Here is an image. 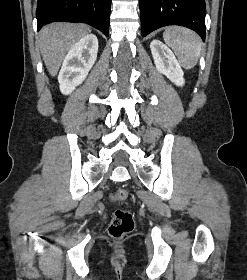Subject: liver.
I'll use <instances>...</instances> for the list:
<instances>
[{"mask_svg": "<svg viewBox=\"0 0 247 280\" xmlns=\"http://www.w3.org/2000/svg\"><path fill=\"white\" fill-rule=\"evenodd\" d=\"M90 32L87 25L74 23H51L38 34V45L51 76H55L68 51Z\"/></svg>", "mask_w": 247, "mask_h": 280, "instance_id": "obj_1", "label": "liver"}]
</instances>
